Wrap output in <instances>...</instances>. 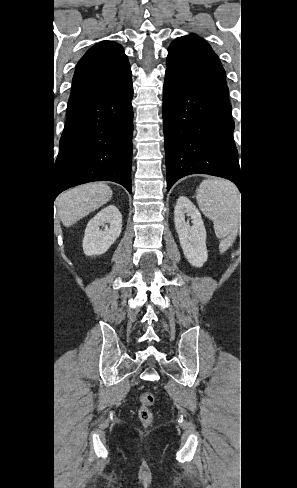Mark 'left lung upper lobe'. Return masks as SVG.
Segmentation results:
<instances>
[{"label":"left lung upper lobe","mask_w":297,"mask_h":488,"mask_svg":"<svg viewBox=\"0 0 297 488\" xmlns=\"http://www.w3.org/2000/svg\"><path fill=\"white\" fill-rule=\"evenodd\" d=\"M167 73L231 107L225 70L209 44L197 35L174 40L168 48Z\"/></svg>","instance_id":"obj_1"}]
</instances>
